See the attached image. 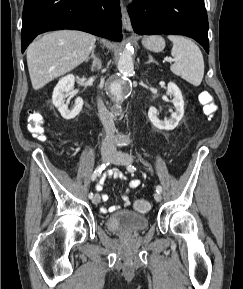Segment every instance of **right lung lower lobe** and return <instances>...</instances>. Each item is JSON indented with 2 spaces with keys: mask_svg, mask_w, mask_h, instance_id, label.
<instances>
[{
  "mask_svg": "<svg viewBox=\"0 0 243 289\" xmlns=\"http://www.w3.org/2000/svg\"><path fill=\"white\" fill-rule=\"evenodd\" d=\"M57 29H76L120 41L119 0H25L22 52L37 35Z\"/></svg>",
  "mask_w": 243,
  "mask_h": 289,
  "instance_id": "1",
  "label": "right lung lower lobe"
}]
</instances>
